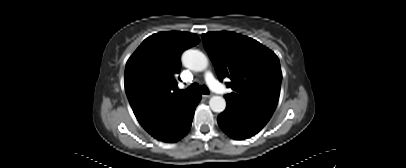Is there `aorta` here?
<instances>
[{"mask_svg":"<svg viewBox=\"0 0 406 168\" xmlns=\"http://www.w3.org/2000/svg\"><path fill=\"white\" fill-rule=\"evenodd\" d=\"M182 64L193 71H204L208 67V59L199 50L189 49L182 54ZM209 106L213 112L221 113L226 108V101L222 96H212Z\"/></svg>","mask_w":406,"mask_h":168,"instance_id":"obj_1","label":"aorta"}]
</instances>
